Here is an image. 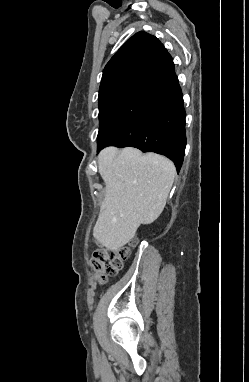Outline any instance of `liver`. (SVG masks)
<instances>
[{
    "label": "liver",
    "instance_id": "obj_1",
    "mask_svg": "<svg viewBox=\"0 0 249 382\" xmlns=\"http://www.w3.org/2000/svg\"><path fill=\"white\" fill-rule=\"evenodd\" d=\"M106 195L93 229L106 249L117 251L162 213L176 169L164 156L127 147H107L98 156Z\"/></svg>",
    "mask_w": 249,
    "mask_h": 382
}]
</instances>
